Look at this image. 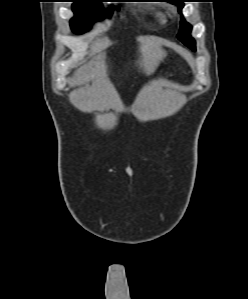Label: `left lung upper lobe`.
Listing matches in <instances>:
<instances>
[{"label":"left lung upper lobe","instance_id":"5c2ea615","mask_svg":"<svg viewBox=\"0 0 248 299\" xmlns=\"http://www.w3.org/2000/svg\"><path fill=\"white\" fill-rule=\"evenodd\" d=\"M168 2L177 5L178 10L181 13L182 8L184 7L183 4L184 0H168ZM191 29H192L191 25L187 23L184 18H182L178 39L182 41L186 46L191 48L192 50H195V41L190 36Z\"/></svg>","mask_w":248,"mask_h":299}]
</instances>
